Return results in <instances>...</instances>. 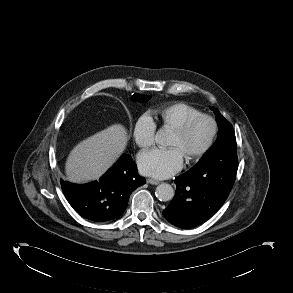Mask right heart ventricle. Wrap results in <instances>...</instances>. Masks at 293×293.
<instances>
[{"mask_svg": "<svg viewBox=\"0 0 293 293\" xmlns=\"http://www.w3.org/2000/svg\"><path fill=\"white\" fill-rule=\"evenodd\" d=\"M202 114L201 111L189 104L176 102L160 108L156 115L162 125L176 130L191 118Z\"/></svg>", "mask_w": 293, "mask_h": 293, "instance_id": "e07e8e85", "label": "right heart ventricle"}]
</instances>
